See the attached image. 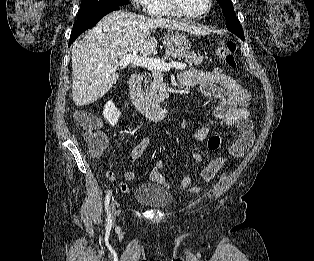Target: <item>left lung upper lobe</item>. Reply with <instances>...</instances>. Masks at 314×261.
I'll return each instance as SVG.
<instances>
[{
  "label": "left lung upper lobe",
  "instance_id": "1",
  "mask_svg": "<svg viewBox=\"0 0 314 261\" xmlns=\"http://www.w3.org/2000/svg\"><path fill=\"white\" fill-rule=\"evenodd\" d=\"M226 18V26L229 31L244 39L243 29L235 15L231 0H217Z\"/></svg>",
  "mask_w": 314,
  "mask_h": 261
}]
</instances>
